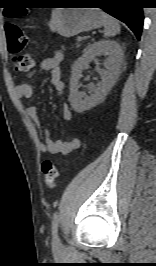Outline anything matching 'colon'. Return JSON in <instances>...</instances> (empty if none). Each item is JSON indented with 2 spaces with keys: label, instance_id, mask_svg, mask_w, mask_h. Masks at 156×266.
<instances>
[{
  "label": "colon",
  "instance_id": "1",
  "mask_svg": "<svg viewBox=\"0 0 156 266\" xmlns=\"http://www.w3.org/2000/svg\"><path fill=\"white\" fill-rule=\"evenodd\" d=\"M7 49L13 55V62L17 71H28L35 66V60L29 55H20L27 45V36L17 25L7 24L5 26ZM44 182L49 189H53L58 177L57 165L45 160L41 166Z\"/></svg>",
  "mask_w": 156,
  "mask_h": 266
}]
</instances>
